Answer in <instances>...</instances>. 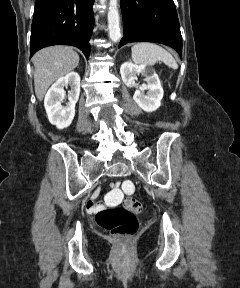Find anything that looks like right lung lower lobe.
<instances>
[{
    "label": "right lung lower lobe",
    "instance_id": "1",
    "mask_svg": "<svg viewBox=\"0 0 240 288\" xmlns=\"http://www.w3.org/2000/svg\"><path fill=\"white\" fill-rule=\"evenodd\" d=\"M94 0H35L30 56L51 45L78 47L86 58L94 27Z\"/></svg>",
    "mask_w": 240,
    "mask_h": 288
}]
</instances>
